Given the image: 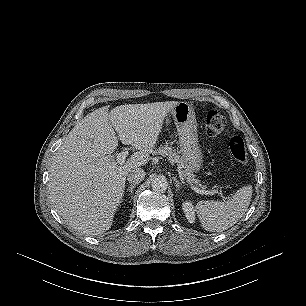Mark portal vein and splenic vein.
I'll return each mask as SVG.
<instances>
[{
  "label": "portal vein and splenic vein",
  "instance_id": "portal-vein-and-splenic-vein-1",
  "mask_svg": "<svg viewBox=\"0 0 306 306\" xmlns=\"http://www.w3.org/2000/svg\"><path fill=\"white\" fill-rule=\"evenodd\" d=\"M127 155H128V151H123V152L117 154L116 161L120 165L124 164L125 158L127 157ZM191 189L193 191H195L196 193H199V194H202V195H204V194L205 195H215L216 193H218L223 199L225 198L221 192H216L214 190H212V191L202 190V189H199V188L193 186L192 184H191Z\"/></svg>",
  "mask_w": 306,
  "mask_h": 306
}]
</instances>
